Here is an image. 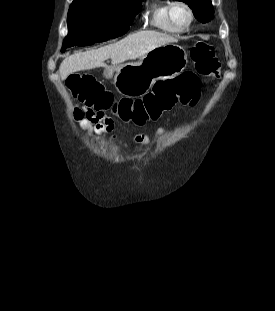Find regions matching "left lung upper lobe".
<instances>
[{
	"label": "left lung upper lobe",
	"instance_id": "5c2ea615",
	"mask_svg": "<svg viewBox=\"0 0 275 311\" xmlns=\"http://www.w3.org/2000/svg\"><path fill=\"white\" fill-rule=\"evenodd\" d=\"M182 1L193 10L195 18L202 23H206L213 18V7L211 0H178Z\"/></svg>",
	"mask_w": 275,
	"mask_h": 311
}]
</instances>
